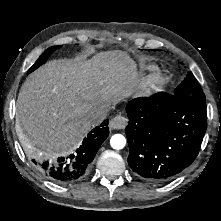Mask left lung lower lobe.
I'll list each match as a JSON object with an SVG mask.
<instances>
[{"label":"left lung lower lobe","instance_id":"left-lung-lower-lobe-1","mask_svg":"<svg viewBox=\"0 0 221 221\" xmlns=\"http://www.w3.org/2000/svg\"><path fill=\"white\" fill-rule=\"evenodd\" d=\"M125 128L135 174L153 183L169 181L192 164L206 132V102L159 92L126 106Z\"/></svg>","mask_w":221,"mask_h":221}]
</instances>
